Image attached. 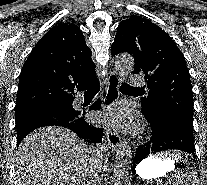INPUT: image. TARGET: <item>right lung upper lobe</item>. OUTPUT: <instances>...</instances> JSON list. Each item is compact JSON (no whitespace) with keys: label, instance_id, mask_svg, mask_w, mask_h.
Segmentation results:
<instances>
[{"label":"right lung upper lobe","instance_id":"cb5924a9","mask_svg":"<svg viewBox=\"0 0 207 185\" xmlns=\"http://www.w3.org/2000/svg\"><path fill=\"white\" fill-rule=\"evenodd\" d=\"M91 54L78 26L61 23L52 27L22 68L16 111L69 103L74 88L97 80Z\"/></svg>","mask_w":207,"mask_h":185}]
</instances>
